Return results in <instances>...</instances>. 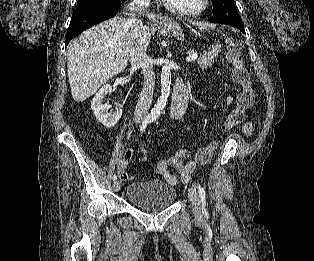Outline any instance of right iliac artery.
I'll return each instance as SVG.
<instances>
[{
  "label": "right iliac artery",
  "mask_w": 314,
  "mask_h": 261,
  "mask_svg": "<svg viewBox=\"0 0 314 261\" xmlns=\"http://www.w3.org/2000/svg\"><path fill=\"white\" fill-rule=\"evenodd\" d=\"M151 121L150 118H146L143 122H142V125L140 127V131L143 132L146 128V126L148 125V123ZM113 180L115 181L117 179V176L114 174L113 175Z\"/></svg>",
  "instance_id": "1"
}]
</instances>
